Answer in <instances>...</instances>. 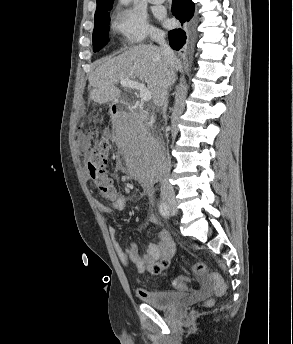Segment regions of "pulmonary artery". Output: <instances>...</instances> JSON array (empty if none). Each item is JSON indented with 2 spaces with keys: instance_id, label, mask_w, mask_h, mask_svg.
Listing matches in <instances>:
<instances>
[{
  "instance_id": "1",
  "label": "pulmonary artery",
  "mask_w": 293,
  "mask_h": 344,
  "mask_svg": "<svg viewBox=\"0 0 293 344\" xmlns=\"http://www.w3.org/2000/svg\"><path fill=\"white\" fill-rule=\"evenodd\" d=\"M150 3L152 4H161L163 3L165 0H148Z\"/></svg>"
}]
</instances>
